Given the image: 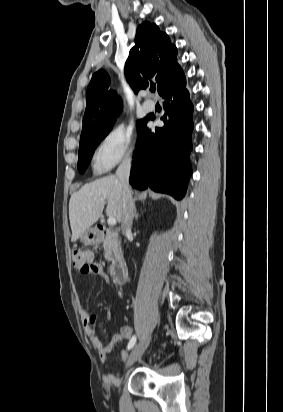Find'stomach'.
<instances>
[{
	"label": "stomach",
	"mask_w": 283,
	"mask_h": 412,
	"mask_svg": "<svg viewBox=\"0 0 283 412\" xmlns=\"http://www.w3.org/2000/svg\"><path fill=\"white\" fill-rule=\"evenodd\" d=\"M80 241L84 245L88 246L97 244L98 239L95 232L92 229H89L83 233V235L80 237Z\"/></svg>",
	"instance_id": "0dacf381"
}]
</instances>
